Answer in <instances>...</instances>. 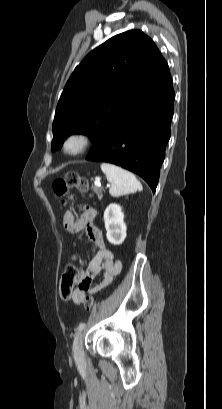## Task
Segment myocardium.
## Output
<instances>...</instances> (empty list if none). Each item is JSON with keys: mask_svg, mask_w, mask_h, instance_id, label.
Here are the masks:
<instances>
[{"mask_svg": "<svg viewBox=\"0 0 222 409\" xmlns=\"http://www.w3.org/2000/svg\"><path fill=\"white\" fill-rule=\"evenodd\" d=\"M92 143V135L83 129L71 131L63 140L62 150L69 156L83 154Z\"/></svg>", "mask_w": 222, "mask_h": 409, "instance_id": "obj_1", "label": "myocardium"}]
</instances>
